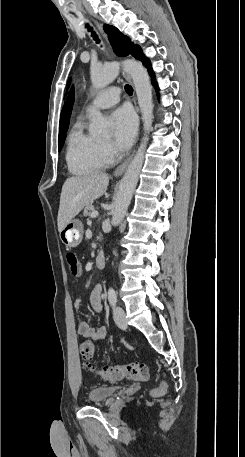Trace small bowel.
<instances>
[{
  "label": "small bowel",
  "instance_id": "small-bowel-1",
  "mask_svg": "<svg viewBox=\"0 0 245 457\" xmlns=\"http://www.w3.org/2000/svg\"><path fill=\"white\" fill-rule=\"evenodd\" d=\"M89 301L94 311L100 312L102 310V286L100 284H97L93 288L90 294ZM80 302V299H77L75 301L76 308L80 307ZM77 330L82 337L93 341L105 339L107 336L106 327L94 329L90 326L88 321L84 319L79 320Z\"/></svg>",
  "mask_w": 245,
  "mask_h": 457
}]
</instances>
